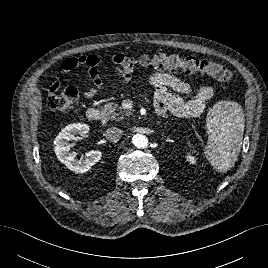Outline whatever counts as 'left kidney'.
Wrapping results in <instances>:
<instances>
[{"label": "left kidney", "mask_w": 268, "mask_h": 268, "mask_svg": "<svg viewBox=\"0 0 268 268\" xmlns=\"http://www.w3.org/2000/svg\"><path fill=\"white\" fill-rule=\"evenodd\" d=\"M186 161H188L190 164H196L197 163V158L193 156L192 153L188 152L185 156Z\"/></svg>", "instance_id": "5707ae66"}]
</instances>
